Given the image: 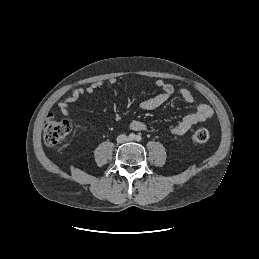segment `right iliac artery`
<instances>
[{
    "instance_id": "82829eb1",
    "label": "right iliac artery",
    "mask_w": 259,
    "mask_h": 259,
    "mask_svg": "<svg viewBox=\"0 0 259 259\" xmlns=\"http://www.w3.org/2000/svg\"><path fill=\"white\" fill-rule=\"evenodd\" d=\"M129 138H130L131 140H134V139H135V134H134V133L129 134Z\"/></svg>"
}]
</instances>
